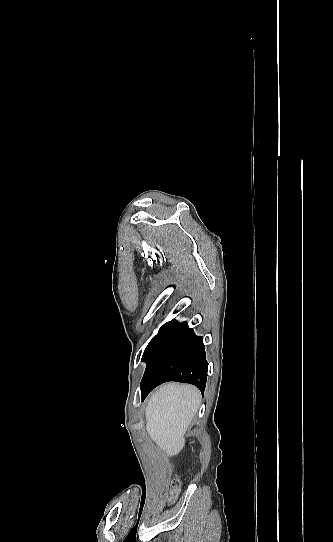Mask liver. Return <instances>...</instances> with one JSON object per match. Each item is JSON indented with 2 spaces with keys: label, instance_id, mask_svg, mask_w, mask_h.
Returning a JSON list of instances; mask_svg holds the SVG:
<instances>
[{
  "label": "liver",
  "instance_id": "6515ba94",
  "mask_svg": "<svg viewBox=\"0 0 333 542\" xmlns=\"http://www.w3.org/2000/svg\"><path fill=\"white\" fill-rule=\"evenodd\" d=\"M199 390L186 384H165L150 398L146 410V430L167 456H177L184 448L185 434L200 404Z\"/></svg>",
  "mask_w": 333,
  "mask_h": 542
}]
</instances>
